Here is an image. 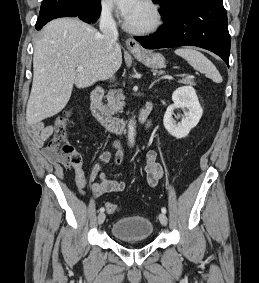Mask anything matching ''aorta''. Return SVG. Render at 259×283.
<instances>
[{"mask_svg": "<svg viewBox=\"0 0 259 283\" xmlns=\"http://www.w3.org/2000/svg\"><path fill=\"white\" fill-rule=\"evenodd\" d=\"M134 137H135V123L133 120H130L128 125V141L130 144L134 143Z\"/></svg>", "mask_w": 259, "mask_h": 283, "instance_id": "1", "label": "aorta"}]
</instances>
